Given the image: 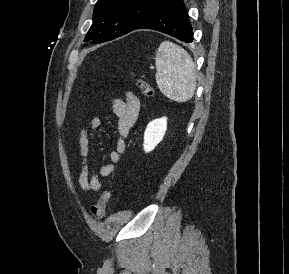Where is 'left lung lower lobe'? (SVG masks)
Wrapping results in <instances>:
<instances>
[{
    "label": "left lung lower lobe",
    "mask_w": 289,
    "mask_h": 274,
    "mask_svg": "<svg viewBox=\"0 0 289 274\" xmlns=\"http://www.w3.org/2000/svg\"><path fill=\"white\" fill-rule=\"evenodd\" d=\"M135 29H152L186 43L193 41L192 26L183 0H167Z\"/></svg>",
    "instance_id": "obj_1"
}]
</instances>
